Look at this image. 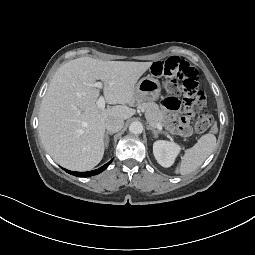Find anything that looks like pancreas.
<instances>
[{"label": "pancreas", "instance_id": "obj_1", "mask_svg": "<svg viewBox=\"0 0 255 255\" xmlns=\"http://www.w3.org/2000/svg\"><path fill=\"white\" fill-rule=\"evenodd\" d=\"M138 108L145 112V117L149 123L155 124L159 123L162 125L163 114L159 109V106L154 102H142L138 103Z\"/></svg>", "mask_w": 255, "mask_h": 255}]
</instances>
